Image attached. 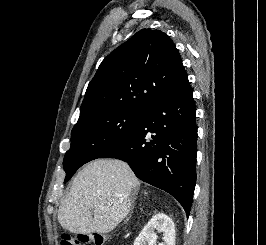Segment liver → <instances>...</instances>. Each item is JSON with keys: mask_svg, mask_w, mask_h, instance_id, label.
<instances>
[{"mask_svg": "<svg viewBox=\"0 0 266 245\" xmlns=\"http://www.w3.org/2000/svg\"><path fill=\"white\" fill-rule=\"evenodd\" d=\"M138 185L140 181L124 161H91L76 175L58 209V221L63 229L77 235L110 233L127 217L132 191Z\"/></svg>", "mask_w": 266, "mask_h": 245, "instance_id": "liver-1", "label": "liver"}]
</instances>
